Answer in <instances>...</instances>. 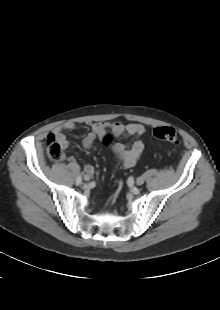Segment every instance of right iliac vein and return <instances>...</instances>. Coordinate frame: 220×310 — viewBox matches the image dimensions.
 <instances>
[{"label":"right iliac vein","instance_id":"1","mask_svg":"<svg viewBox=\"0 0 220 310\" xmlns=\"http://www.w3.org/2000/svg\"><path fill=\"white\" fill-rule=\"evenodd\" d=\"M84 180H85V181H89V180H90V176H89V175H85V176H84Z\"/></svg>","mask_w":220,"mask_h":310}]
</instances>
